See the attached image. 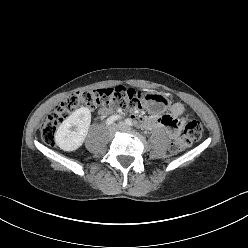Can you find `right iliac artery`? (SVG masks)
<instances>
[{"instance_id": "obj_1", "label": "right iliac artery", "mask_w": 248, "mask_h": 248, "mask_svg": "<svg viewBox=\"0 0 248 248\" xmlns=\"http://www.w3.org/2000/svg\"><path fill=\"white\" fill-rule=\"evenodd\" d=\"M120 118V116H111L106 120V125L110 126L111 124H113L116 120H118Z\"/></svg>"}]
</instances>
